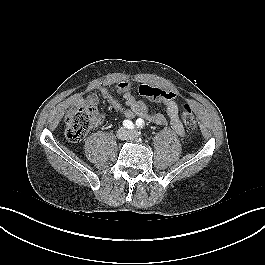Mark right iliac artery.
<instances>
[{"instance_id":"82829eb1","label":"right iliac artery","mask_w":265,"mask_h":265,"mask_svg":"<svg viewBox=\"0 0 265 265\" xmlns=\"http://www.w3.org/2000/svg\"><path fill=\"white\" fill-rule=\"evenodd\" d=\"M123 126H124L125 128H128V129H133V128H134V124H133V122L130 121V120H124V121H123Z\"/></svg>"}]
</instances>
